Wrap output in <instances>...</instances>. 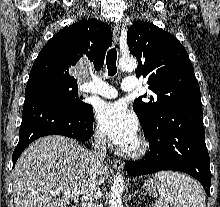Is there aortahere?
<instances>
[{"label": "aorta", "instance_id": "aorta-1", "mask_svg": "<svg viewBox=\"0 0 220 207\" xmlns=\"http://www.w3.org/2000/svg\"><path fill=\"white\" fill-rule=\"evenodd\" d=\"M119 68L123 71H135L137 68V61L134 57H122L119 60ZM124 190V181L122 175L115 176L110 191V207H123L122 194Z\"/></svg>", "mask_w": 220, "mask_h": 207}]
</instances>
